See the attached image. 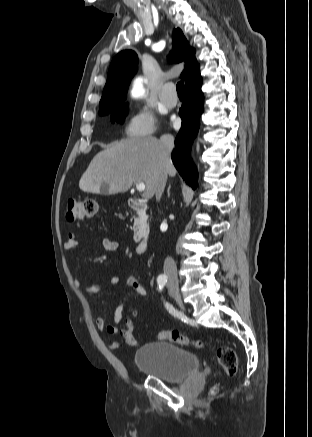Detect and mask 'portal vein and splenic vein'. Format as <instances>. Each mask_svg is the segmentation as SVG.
<instances>
[{
  "instance_id": "portal-vein-and-splenic-vein-1",
  "label": "portal vein and splenic vein",
  "mask_w": 312,
  "mask_h": 437,
  "mask_svg": "<svg viewBox=\"0 0 312 437\" xmlns=\"http://www.w3.org/2000/svg\"><path fill=\"white\" fill-rule=\"evenodd\" d=\"M136 189L139 192H143L145 190V184L143 182H137L136 183Z\"/></svg>"
}]
</instances>
